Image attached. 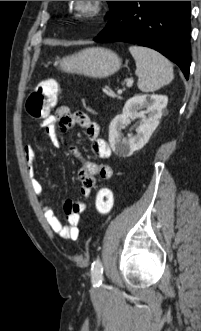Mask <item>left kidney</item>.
Segmentation results:
<instances>
[{"mask_svg": "<svg viewBox=\"0 0 201 331\" xmlns=\"http://www.w3.org/2000/svg\"><path fill=\"white\" fill-rule=\"evenodd\" d=\"M168 102L164 95H135L124 105L121 115H117L109 126V142L115 154L129 157L148 143L152 133L159 125L162 111ZM145 108V110L140 111ZM147 115V117H146ZM130 118H141L142 123L136 135L122 138L121 131L130 123Z\"/></svg>", "mask_w": 201, "mask_h": 331, "instance_id": "5707ae66", "label": "left kidney"}]
</instances>
